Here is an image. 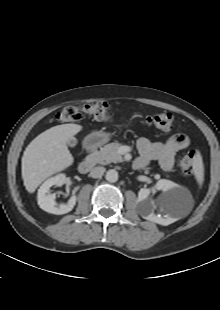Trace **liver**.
Here are the masks:
<instances>
[{
    "label": "liver",
    "mask_w": 220,
    "mask_h": 310,
    "mask_svg": "<svg viewBox=\"0 0 220 310\" xmlns=\"http://www.w3.org/2000/svg\"><path fill=\"white\" fill-rule=\"evenodd\" d=\"M82 130L78 124H62L39 134L27 146L22 157V179L29 193L48 177L73 164L67 141Z\"/></svg>",
    "instance_id": "obj_1"
}]
</instances>
